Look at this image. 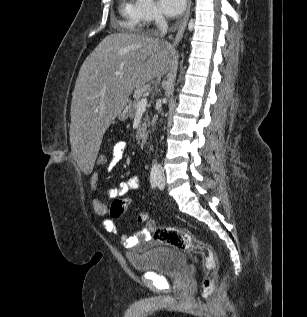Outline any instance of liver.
Instances as JSON below:
<instances>
[{
	"instance_id": "6515ba94",
	"label": "liver",
	"mask_w": 307,
	"mask_h": 317,
	"mask_svg": "<svg viewBox=\"0 0 307 317\" xmlns=\"http://www.w3.org/2000/svg\"><path fill=\"white\" fill-rule=\"evenodd\" d=\"M174 51L143 33L105 37L80 68L71 103L70 142L78 172L89 175L102 137L134 88L169 70Z\"/></svg>"
}]
</instances>
